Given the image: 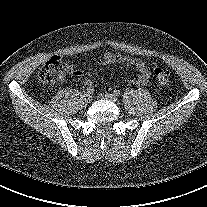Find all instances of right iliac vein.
Here are the masks:
<instances>
[{
	"label": "right iliac vein",
	"instance_id": "1",
	"mask_svg": "<svg viewBox=\"0 0 207 207\" xmlns=\"http://www.w3.org/2000/svg\"><path fill=\"white\" fill-rule=\"evenodd\" d=\"M91 100H92V96H91L90 94L85 93V94L83 95V101H84L85 103H90Z\"/></svg>",
	"mask_w": 207,
	"mask_h": 207
}]
</instances>
